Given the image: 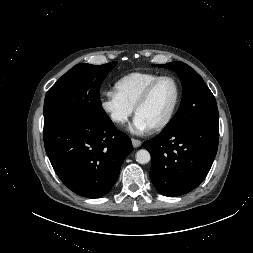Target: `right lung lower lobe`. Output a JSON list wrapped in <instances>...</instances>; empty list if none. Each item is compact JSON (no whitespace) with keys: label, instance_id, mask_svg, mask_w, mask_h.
Here are the masks:
<instances>
[{"label":"right lung lower lobe","instance_id":"obj_1","mask_svg":"<svg viewBox=\"0 0 253 253\" xmlns=\"http://www.w3.org/2000/svg\"><path fill=\"white\" fill-rule=\"evenodd\" d=\"M44 145L54 171L74 193L87 198L106 195L132 152L131 140L108 116L69 118L44 126Z\"/></svg>","mask_w":253,"mask_h":253}]
</instances>
